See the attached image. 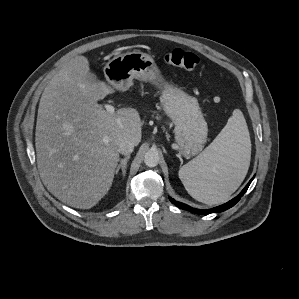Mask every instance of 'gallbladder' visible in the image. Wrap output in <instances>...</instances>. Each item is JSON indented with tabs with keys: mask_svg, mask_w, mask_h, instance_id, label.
Wrapping results in <instances>:
<instances>
[{
	"mask_svg": "<svg viewBox=\"0 0 299 299\" xmlns=\"http://www.w3.org/2000/svg\"><path fill=\"white\" fill-rule=\"evenodd\" d=\"M87 81L88 82H95V81H97L96 75L94 73H92V72H89L88 76H87Z\"/></svg>",
	"mask_w": 299,
	"mask_h": 299,
	"instance_id": "1",
	"label": "gallbladder"
}]
</instances>
